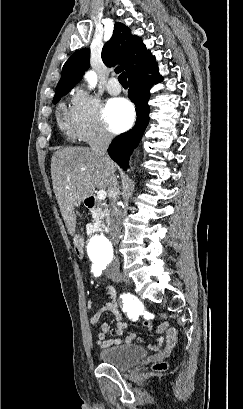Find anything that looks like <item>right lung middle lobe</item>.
<instances>
[{
    "instance_id": "obj_1",
    "label": "right lung middle lobe",
    "mask_w": 243,
    "mask_h": 409,
    "mask_svg": "<svg viewBox=\"0 0 243 409\" xmlns=\"http://www.w3.org/2000/svg\"><path fill=\"white\" fill-rule=\"evenodd\" d=\"M63 95H65V94L55 95L53 103L56 104L60 100L61 96H63Z\"/></svg>"
}]
</instances>
